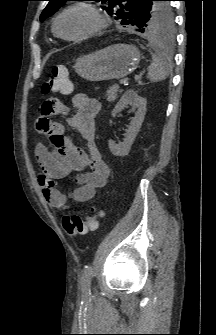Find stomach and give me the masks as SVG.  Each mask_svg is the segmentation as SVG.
I'll return each instance as SVG.
<instances>
[{
	"label": "stomach",
	"instance_id": "stomach-1",
	"mask_svg": "<svg viewBox=\"0 0 216 335\" xmlns=\"http://www.w3.org/2000/svg\"><path fill=\"white\" fill-rule=\"evenodd\" d=\"M140 60V51L134 45L114 44L78 58L73 68L88 81H107L128 75Z\"/></svg>",
	"mask_w": 216,
	"mask_h": 335
}]
</instances>
